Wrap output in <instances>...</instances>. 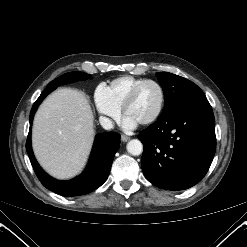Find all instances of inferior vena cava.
<instances>
[{
  "instance_id": "1",
  "label": "inferior vena cava",
  "mask_w": 247,
  "mask_h": 247,
  "mask_svg": "<svg viewBox=\"0 0 247 247\" xmlns=\"http://www.w3.org/2000/svg\"><path fill=\"white\" fill-rule=\"evenodd\" d=\"M99 122H100L101 126L106 130H110L113 128V123H112L111 119H109L107 117L100 116Z\"/></svg>"
}]
</instances>
